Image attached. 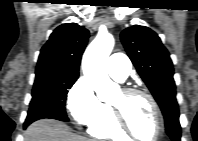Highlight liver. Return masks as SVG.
<instances>
[{
  "label": "liver",
  "instance_id": "1",
  "mask_svg": "<svg viewBox=\"0 0 198 141\" xmlns=\"http://www.w3.org/2000/svg\"><path fill=\"white\" fill-rule=\"evenodd\" d=\"M25 141H91L74 134L64 123L41 119L32 123L25 132Z\"/></svg>",
  "mask_w": 198,
  "mask_h": 141
}]
</instances>
